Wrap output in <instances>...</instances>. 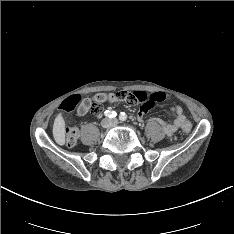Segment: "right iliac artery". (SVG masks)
<instances>
[{"instance_id": "obj_1", "label": "right iliac artery", "mask_w": 234, "mask_h": 234, "mask_svg": "<svg viewBox=\"0 0 234 234\" xmlns=\"http://www.w3.org/2000/svg\"><path fill=\"white\" fill-rule=\"evenodd\" d=\"M104 114L106 117H109V118H114L117 115L116 112L113 110H106Z\"/></svg>"}]
</instances>
